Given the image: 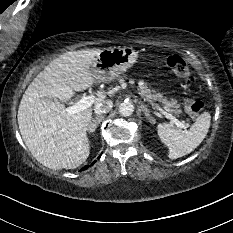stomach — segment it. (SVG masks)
Here are the masks:
<instances>
[{
	"instance_id": "obj_1",
	"label": "stomach",
	"mask_w": 233,
	"mask_h": 233,
	"mask_svg": "<svg viewBox=\"0 0 233 233\" xmlns=\"http://www.w3.org/2000/svg\"><path fill=\"white\" fill-rule=\"evenodd\" d=\"M138 52L131 47L106 48L100 51L91 72L100 81L112 80L137 62Z\"/></svg>"
}]
</instances>
